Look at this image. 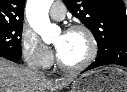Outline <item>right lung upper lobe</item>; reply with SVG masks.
<instances>
[{"instance_id":"1","label":"right lung upper lobe","mask_w":127,"mask_h":92,"mask_svg":"<svg viewBox=\"0 0 127 92\" xmlns=\"http://www.w3.org/2000/svg\"><path fill=\"white\" fill-rule=\"evenodd\" d=\"M25 0H0V25L22 24Z\"/></svg>"}]
</instances>
